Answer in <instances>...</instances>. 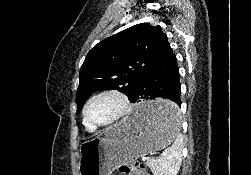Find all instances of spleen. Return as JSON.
Segmentation results:
<instances>
[{
  "mask_svg": "<svg viewBox=\"0 0 251 175\" xmlns=\"http://www.w3.org/2000/svg\"><path fill=\"white\" fill-rule=\"evenodd\" d=\"M168 113H170V119L172 121L174 135L173 143L169 149H166V153H163L162 157L156 159V161H150V167L154 175H177L178 169L181 165L183 137L179 133L180 121L176 107H170Z\"/></svg>",
  "mask_w": 251,
  "mask_h": 175,
  "instance_id": "1",
  "label": "spleen"
}]
</instances>
